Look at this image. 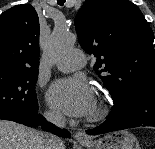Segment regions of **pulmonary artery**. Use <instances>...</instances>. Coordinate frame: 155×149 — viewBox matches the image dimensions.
<instances>
[{"label": "pulmonary artery", "instance_id": "1", "mask_svg": "<svg viewBox=\"0 0 155 149\" xmlns=\"http://www.w3.org/2000/svg\"><path fill=\"white\" fill-rule=\"evenodd\" d=\"M85 63V54L80 49L68 51L56 64L63 72H71L81 68Z\"/></svg>", "mask_w": 155, "mask_h": 149}]
</instances>
